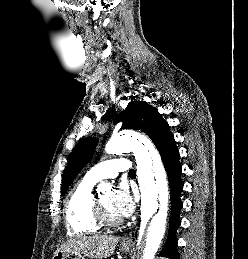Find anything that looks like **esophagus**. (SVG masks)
I'll use <instances>...</instances> for the list:
<instances>
[{"label":"esophagus","mask_w":248,"mask_h":259,"mask_svg":"<svg viewBox=\"0 0 248 259\" xmlns=\"http://www.w3.org/2000/svg\"><path fill=\"white\" fill-rule=\"evenodd\" d=\"M132 243V239L130 237H124L122 239V244H131Z\"/></svg>","instance_id":"obj_1"}]
</instances>
